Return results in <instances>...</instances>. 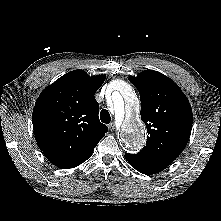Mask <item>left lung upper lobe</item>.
Instances as JSON below:
<instances>
[{
    "label": "left lung upper lobe",
    "instance_id": "1",
    "mask_svg": "<svg viewBox=\"0 0 221 221\" xmlns=\"http://www.w3.org/2000/svg\"><path fill=\"white\" fill-rule=\"evenodd\" d=\"M130 82L141 99V119L147 142L136 155L170 165L185 148L192 130L193 114L181 89L160 72L146 70Z\"/></svg>",
    "mask_w": 221,
    "mask_h": 221
}]
</instances>
